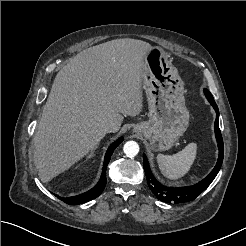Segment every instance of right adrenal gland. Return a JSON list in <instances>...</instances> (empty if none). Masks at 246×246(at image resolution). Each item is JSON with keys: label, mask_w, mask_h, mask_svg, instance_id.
<instances>
[{"label": "right adrenal gland", "mask_w": 246, "mask_h": 246, "mask_svg": "<svg viewBox=\"0 0 246 246\" xmlns=\"http://www.w3.org/2000/svg\"><path fill=\"white\" fill-rule=\"evenodd\" d=\"M98 148V144L91 150L90 154H89V157H92L94 156V152L95 150Z\"/></svg>", "instance_id": "2a0ac1e0"}]
</instances>
